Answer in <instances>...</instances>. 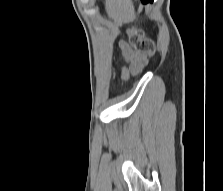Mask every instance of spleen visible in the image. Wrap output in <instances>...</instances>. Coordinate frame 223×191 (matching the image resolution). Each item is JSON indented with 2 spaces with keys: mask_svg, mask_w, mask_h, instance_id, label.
Segmentation results:
<instances>
[{
  "mask_svg": "<svg viewBox=\"0 0 223 191\" xmlns=\"http://www.w3.org/2000/svg\"><path fill=\"white\" fill-rule=\"evenodd\" d=\"M106 11L117 22L131 21L134 15L130 0H106Z\"/></svg>",
  "mask_w": 223,
  "mask_h": 191,
  "instance_id": "obj_1",
  "label": "spleen"
}]
</instances>
